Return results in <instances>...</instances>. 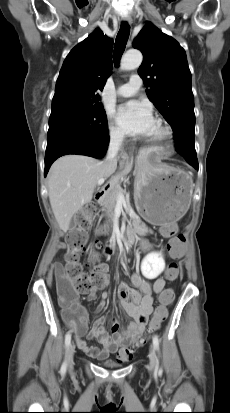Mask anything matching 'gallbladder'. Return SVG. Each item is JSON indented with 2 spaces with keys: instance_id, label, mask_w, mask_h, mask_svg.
I'll list each match as a JSON object with an SVG mask.
<instances>
[{
  "instance_id": "gallbladder-1",
  "label": "gallbladder",
  "mask_w": 230,
  "mask_h": 413,
  "mask_svg": "<svg viewBox=\"0 0 230 413\" xmlns=\"http://www.w3.org/2000/svg\"><path fill=\"white\" fill-rule=\"evenodd\" d=\"M70 228H73V227H75L76 226V220L74 219V220H72L71 222H70Z\"/></svg>"
}]
</instances>
